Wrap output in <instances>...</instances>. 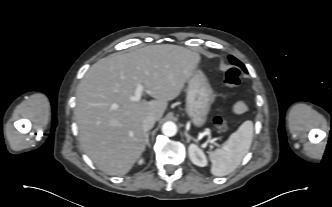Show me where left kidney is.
I'll list each match as a JSON object with an SVG mask.
<instances>
[{
  "instance_id": "left-kidney-1",
  "label": "left kidney",
  "mask_w": 332,
  "mask_h": 207,
  "mask_svg": "<svg viewBox=\"0 0 332 207\" xmlns=\"http://www.w3.org/2000/svg\"><path fill=\"white\" fill-rule=\"evenodd\" d=\"M189 157L193 164L204 167L207 165V158L204 152L195 144H191L188 148Z\"/></svg>"
}]
</instances>
